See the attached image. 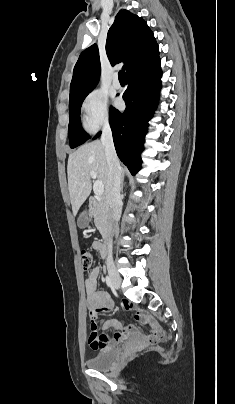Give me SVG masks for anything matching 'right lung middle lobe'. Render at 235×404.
I'll list each match as a JSON object with an SVG mask.
<instances>
[{
	"label": "right lung middle lobe",
	"instance_id": "obj_1",
	"mask_svg": "<svg viewBox=\"0 0 235 404\" xmlns=\"http://www.w3.org/2000/svg\"><path fill=\"white\" fill-rule=\"evenodd\" d=\"M84 99L85 97L69 102L70 122L68 136L71 148L79 146L89 138V136L82 131L80 122V107Z\"/></svg>",
	"mask_w": 235,
	"mask_h": 404
}]
</instances>
